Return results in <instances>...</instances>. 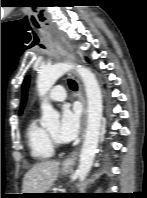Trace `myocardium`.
<instances>
[{"label": "myocardium", "instance_id": "myocardium-1", "mask_svg": "<svg viewBox=\"0 0 147 198\" xmlns=\"http://www.w3.org/2000/svg\"><path fill=\"white\" fill-rule=\"evenodd\" d=\"M48 138L53 146L60 145L59 141L47 130Z\"/></svg>", "mask_w": 147, "mask_h": 198}]
</instances>
